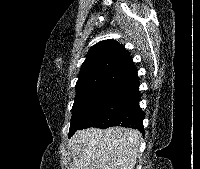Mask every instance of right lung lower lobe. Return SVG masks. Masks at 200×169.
Returning a JSON list of instances; mask_svg holds the SVG:
<instances>
[{
	"mask_svg": "<svg viewBox=\"0 0 200 169\" xmlns=\"http://www.w3.org/2000/svg\"><path fill=\"white\" fill-rule=\"evenodd\" d=\"M138 86V76L116 84L107 100L78 129L123 126L144 133V112L139 108L141 96Z\"/></svg>",
	"mask_w": 200,
	"mask_h": 169,
	"instance_id": "obj_1",
	"label": "right lung lower lobe"
}]
</instances>
